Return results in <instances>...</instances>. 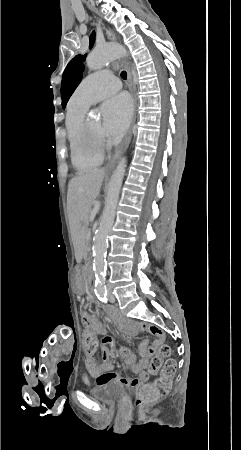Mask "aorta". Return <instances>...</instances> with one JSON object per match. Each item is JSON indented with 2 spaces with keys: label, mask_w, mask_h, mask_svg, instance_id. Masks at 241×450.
<instances>
[{
  "label": "aorta",
  "mask_w": 241,
  "mask_h": 450,
  "mask_svg": "<svg viewBox=\"0 0 241 450\" xmlns=\"http://www.w3.org/2000/svg\"><path fill=\"white\" fill-rule=\"evenodd\" d=\"M126 49L116 43H108L95 48L87 57L86 64L91 70L103 68L109 62L126 55ZM126 158H122L114 170L107 191L103 214L98 229L93 238V270L96 284L102 285L106 276V254L108 248V234L115 219V210L125 175Z\"/></svg>",
  "instance_id": "aorta-1"
}]
</instances>
